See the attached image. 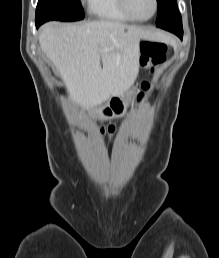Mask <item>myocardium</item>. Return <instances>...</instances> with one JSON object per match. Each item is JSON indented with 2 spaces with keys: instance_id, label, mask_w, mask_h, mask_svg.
Wrapping results in <instances>:
<instances>
[{
  "instance_id": "myocardium-1",
  "label": "myocardium",
  "mask_w": 219,
  "mask_h": 258,
  "mask_svg": "<svg viewBox=\"0 0 219 258\" xmlns=\"http://www.w3.org/2000/svg\"><path fill=\"white\" fill-rule=\"evenodd\" d=\"M120 2V6L123 10V12L133 21H137V22H146V21H149L151 20L155 15L156 13L158 12V8H159V1L158 0H153L154 2V10H153V13L147 17V18H138L136 17L132 11L130 10V7H129V2L128 0H119Z\"/></svg>"
}]
</instances>
